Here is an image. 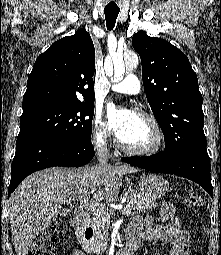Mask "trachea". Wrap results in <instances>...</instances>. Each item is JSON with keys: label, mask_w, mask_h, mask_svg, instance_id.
<instances>
[{"label": "trachea", "mask_w": 221, "mask_h": 255, "mask_svg": "<svg viewBox=\"0 0 221 255\" xmlns=\"http://www.w3.org/2000/svg\"><path fill=\"white\" fill-rule=\"evenodd\" d=\"M119 11L120 10L117 8L114 9L105 8V19L108 30H112L114 28Z\"/></svg>", "instance_id": "1"}]
</instances>
